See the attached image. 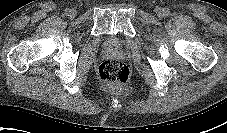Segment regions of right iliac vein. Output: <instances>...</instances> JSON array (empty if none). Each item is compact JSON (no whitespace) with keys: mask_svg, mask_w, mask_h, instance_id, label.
Wrapping results in <instances>:
<instances>
[{"mask_svg":"<svg viewBox=\"0 0 227 133\" xmlns=\"http://www.w3.org/2000/svg\"><path fill=\"white\" fill-rule=\"evenodd\" d=\"M75 15H76V11L75 10H70L69 16L70 17H75Z\"/></svg>","mask_w":227,"mask_h":133,"instance_id":"obj_1","label":"right iliac vein"}]
</instances>
